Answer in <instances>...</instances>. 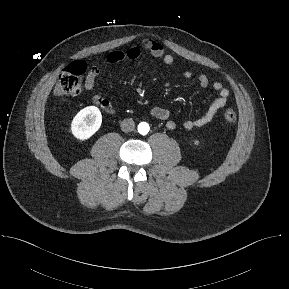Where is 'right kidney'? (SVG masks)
Masks as SVG:
<instances>
[{
	"instance_id": "obj_1",
	"label": "right kidney",
	"mask_w": 289,
	"mask_h": 289,
	"mask_svg": "<svg viewBox=\"0 0 289 289\" xmlns=\"http://www.w3.org/2000/svg\"><path fill=\"white\" fill-rule=\"evenodd\" d=\"M102 115L96 106H88L80 110L73 118L71 131L75 138L83 141L93 136L100 128Z\"/></svg>"
}]
</instances>
